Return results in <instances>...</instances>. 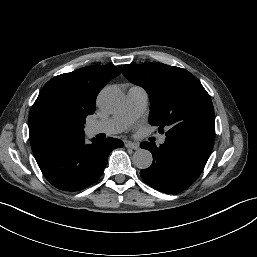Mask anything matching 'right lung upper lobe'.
Instances as JSON below:
<instances>
[{
    "label": "right lung upper lobe",
    "mask_w": 257,
    "mask_h": 257,
    "mask_svg": "<svg viewBox=\"0 0 257 257\" xmlns=\"http://www.w3.org/2000/svg\"><path fill=\"white\" fill-rule=\"evenodd\" d=\"M121 73V67L87 66L71 73L58 75L41 89L29 114V135L33 153L68 136L84 135L87 115L96 109L99 89ZM60 108L72 112L74 124L56 125L49 119L50 112Z\"/></svg>",
    "instance_id": "right-lung-upper-lobe-1"
}]
</instances>
